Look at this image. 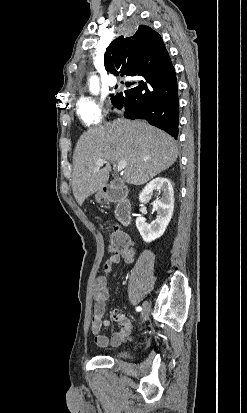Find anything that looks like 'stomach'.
<instances>
[{
	"label": "stomach",
	"instance_id": "stomach-1",
	"mask_svg": "<svg viewBox=\"0 0 247 413\" xmlns=\"http://www.w3.org/2000/svg\"><path fill=\"white\" fill-rule=\"evenodd\" d=\"M96 200H102V198H106V192L104 190H98L97 194H95Z\"/></svg>",
	"mask_w": 247,
	"mask_h": 413
}]
</instances>
